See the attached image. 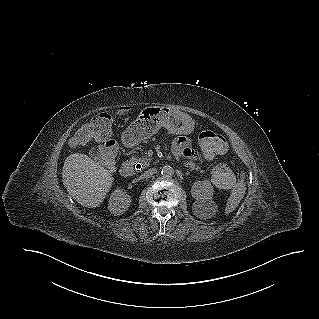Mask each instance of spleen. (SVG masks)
<instances>
[{
    "instance_id": "3e777b00",
    "label": "spleen",
    "mask_w": 319,
    "mask_h": 319,
    "mask_svg": "<svg viewBox=\"0 0 319 319\" xmlns=\"http://www.w3.org/2000/svg\"><path fill=\"white\" fill-rule=\"evenodd\" d=\"M245 172L241 173L240 181L233 188L226 204L225 213L233 212L243 199L246 191Z\"/></svg>"
}]
</instances>
